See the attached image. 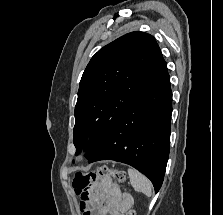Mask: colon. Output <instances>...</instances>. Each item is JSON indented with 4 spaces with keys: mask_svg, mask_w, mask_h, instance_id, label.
<instances>
[{
    "mask_svg": "<svg viewBox=\"0 0 223 215\" xmlns=\"http://www.w3.org/2000/svg\"><path fill=\"white\" fill-rule=\"evenodd\" d=\"M105 177H113L118 181H123L125 179L123 171L103 166L98 171L87 173L78 172L73 179L74 190L77 194L83 197L98 179ZM127 215H136V213L134 210H129Z\"/></svg>",
    "mask_w": 223,
    "mask_h": 215,
    "instance_id": "colon-1",
    "label": "colon"
}]
</instances>
